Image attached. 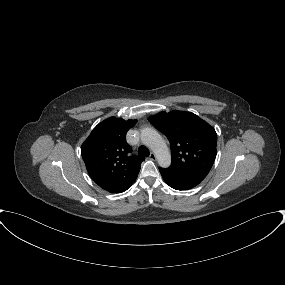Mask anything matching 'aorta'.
Segmentation results:
<instances>
[{
	"instance_id": "aorta-1",
	"label": "aorta",
	"mask_w": 285,
	"mask_h": 285,
	"mask_svg": "<svg viewBox=\"0 0 285 285\" xmlns=\"http://www.w3.org/2000/svg\"><path fill=\"white\" fill-rule=\"evenodd\" d=\"M141 141L149 147L161 167L167 168L171 164L168 146L162 136L153 128H144L141 131Z\"/></svg>"
}]
</instances>
